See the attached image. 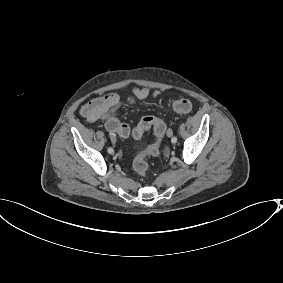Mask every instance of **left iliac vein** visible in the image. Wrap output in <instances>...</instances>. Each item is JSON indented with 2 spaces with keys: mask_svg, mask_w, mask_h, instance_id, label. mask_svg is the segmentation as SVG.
Listing matches in <instances>:
<instances>
[{
  "mask_svg": "<svg viewBox=\"0 0 283 283\" xmlns=\"http://www.w3.org/2000/svg\"><path fill=\"white\" fill-rule=\"evenodd\" d=\"M172 134H173L172 129H168V131H167V136H168V137H171V136H172Z\"/></svg>",
  "mask_w": 283,
  "mask_h": 283,
  "instance_id": "left-iliac-vein-1",
  "label": "left iliac vein"
}]
</instances>
